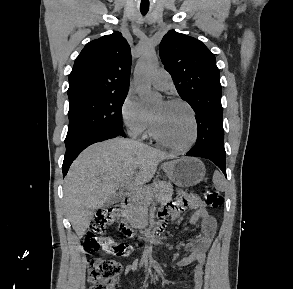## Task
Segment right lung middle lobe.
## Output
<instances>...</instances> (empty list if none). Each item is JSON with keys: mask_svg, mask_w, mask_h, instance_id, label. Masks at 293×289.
<instances>
[{"mask_svg": "<svg viewBox=\"0 0 293 289\" xmlns=\"http://www.w3.org/2000/svg\"><path fill=\"white\" fill-rule=\"evenodd\" d=\"M127 93L85 96L69 101V127L65 143L93 130L122 127V105Z\"/></svg>", "mask_w": 293, "mask_h": 289, "instance_id": "obj_1", "label": "right lung middle lobe"}]
</instances>
